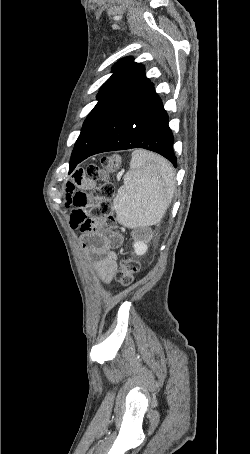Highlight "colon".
Returning <instances> with one entry per match:
<instances>
[{
  "instance_id": "colon-1",
  "label": "colon",
  "mask_w": 250,
  "mask_h": 454,
  "mask_svg": "<svg viewBox=\"0 0 250 454\" xmlns=\"http://www.w3.org/2000/svg\"><path fill=\"white\" fill-rule=\"evenodd\" d=\"M121 158L118 155L104 157L101 165H90L86 170V175L99 182L94 191L95 204L89 210V216L100 227H112L114 218L112 215L111 200L115 193V188L110 182V175L117 172L120 167ZM140 269L138 260L126 256L120 261V268L116 273V279L123 285L131 283Z\"/></svg>"
}]
</instances>
